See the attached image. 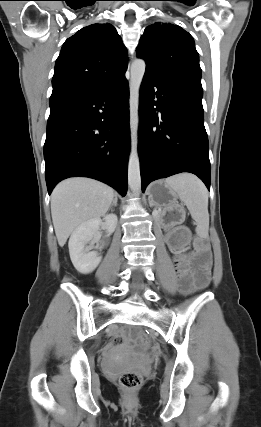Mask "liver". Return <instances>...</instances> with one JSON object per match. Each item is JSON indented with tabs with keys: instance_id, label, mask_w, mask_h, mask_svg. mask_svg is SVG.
<instances>
[{
	"instance_id": "liver-1",
	"label": "liver",
	"mask_w": 261,
	"mask_h": 427,
	"mask_svg": "<svg viewBox=\"0 0 261 427\" xmlns=\"http://www.w3.org/2000/svg\"><path fill=\"white\" fill-rule=\"evenodd\" d=\"M114 198L110 186L89 178L60 182L51 195V215L58 244L84 222L104 216Z\"/></svg>"
}]
</instances>
